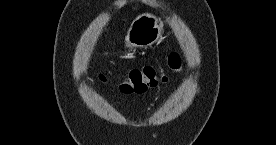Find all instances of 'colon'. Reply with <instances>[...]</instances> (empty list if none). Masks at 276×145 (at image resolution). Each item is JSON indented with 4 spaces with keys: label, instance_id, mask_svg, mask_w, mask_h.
<instances>
[{
    "label": "colon",
    "instance_id": "obj_1",
    "mask_svg": "<svg viewBox=\"0 0 276 145\" xmlns=\"http://www.w3.org/2000/svg\"><path fill=\"white\" fill-rule=\"evenodd\" d=\"M181 67V60L177 54H171L165 66H143L133 68L123 75L116 85L120 92L125 94H140L159 83L166 82L168 74L177 72ZM100 79L106 81L107 77L100 74Z\"/></svg>",
    "mask_w": 276,
    "mask_h": 145
}]
</instances>
